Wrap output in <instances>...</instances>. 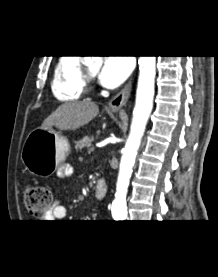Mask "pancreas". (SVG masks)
Listing matches in <instances>:
<instances>
[{"mask_svg": "<svg viewBox=\"0 0 218 277\" xmlns=\"http://www.w3.org/2000/svg\"><path fill=\"white\" fill-rule=\"evenodd\" d=\"M92 142H93V137L86 136L76 143L75 148H76V150H82L84 148H89L91 146Z\"/></svg>", "mask_w": 218, "mask_h": 277, "instance_id": "cf45deb5", "label": "pancreas"}]
</instances>
